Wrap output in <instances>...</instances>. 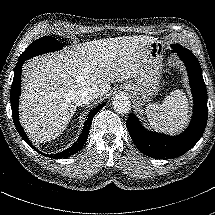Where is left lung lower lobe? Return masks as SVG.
<instances>
[{
  "label": "left lung lower lobe",
  "mask_w": 215,
  "mask_h": 215,
  "mask_svg": "<svg viewBox=\"0 0 215 215\" xmlns=\"http://www.w3.org/2000/svg\"><path fill=\"white\" fill-rule=\"evenodd\" d=\"M173 51L186 65L194 100L193 117L188 128L178 136L146 130L136 115L127 120L128 132L137 148L153 158H176L190 150L201 138L207 123V91L202 76L201 66L195 55L181 45H173Z\"/></svg>",
  "instance_id": "0a47b994"
}]
</instances>
